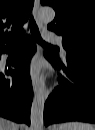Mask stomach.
I'll return each mask as SVG.
<instances>
[{"instance_id":"0dacf381","label":"stomach","mask_w":95,"mask_h":130,"mask_svg":"<svg viewBox=\"0 0 95 130\" xmlns=\"http://www.w3.org/2000/svg\"><path fill=\"white\" fill-rule=\"evenodd\" d=\"M53 130H60V129H59V126H55V127L53 128Z\"/></svg>"}]
</instances>
